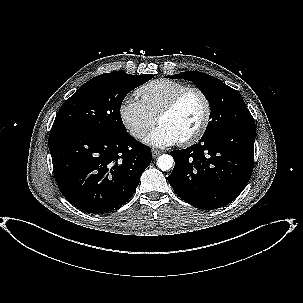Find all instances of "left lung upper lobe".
Segmentation results:
<instances>
[{
    "label": "left lung upper lobe",
    "mask_w": 303,
    "mask_h": 303,
    "mask_svg": "<svg viewBox=\"0 0 303 303\" xmlns=\"http://www.w3.org/2000/svg\"><path fill=\"white\" fill-rule=\"evenodd\" d=\"M167 77L191 80L208 100L211 109V121L208 123L202 137L229 128L255 125L241 94L217 78L195 71L182 72Z\"/></svg>",
    "instance_id": "1"
}]
</instances>
